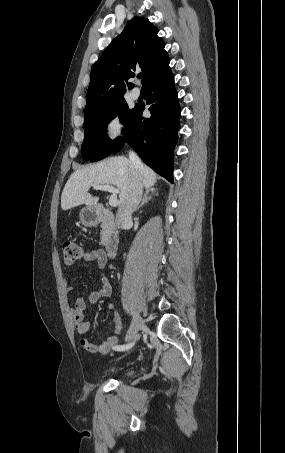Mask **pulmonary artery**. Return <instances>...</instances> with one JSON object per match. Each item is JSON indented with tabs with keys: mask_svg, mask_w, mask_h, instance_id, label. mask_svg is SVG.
Instances as JSON below:
<instances>
[{
	"mask_svg": "<svg viewBox=\"0 0 285 453\" xmlns=\"http://www.w3.org/2000/svg\"><path fill=\"white\" fill-rule=\"evenodd\" d=\"M140 94H141V92H140L139 88H133L131 91V96L134 99H138L140 97Z\"/></svg>",
	"mask_w": 285,
	"mask_h": 453,
	"instance_id": "1",
	"label": "pulmonary artery"
}]
</instances>
